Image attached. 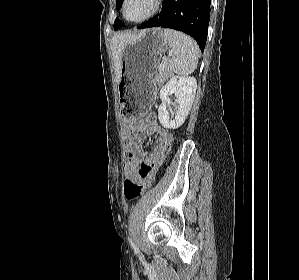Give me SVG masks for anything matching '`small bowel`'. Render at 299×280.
Returning a JSON list of instances; mask_svg holds the SVG:
<instances>
[{
	"label": "small bowel",
	"instance_id": "c3829d8e",
	"mask_svg": "<svg viewBox=\"0 0 299 280\" xmlns=\"http://www.w3.org/2000/svg\"><path fill=\"white\" fill-rule=\"evenodd\" d=\"M149 135H156L157 139L151 148L150 156L144 159L142 146L138 141L133 140L132 136L137 139H144ZM127 136L129 138V151L127 161L124 164V173L127 179H137L140 164L156 159L161 154L163 147L172 141L171 133L162 127L156 119L148 123L130 122Z\"/></svg>",
	"mask_w": 299,
	"mask_h": 280
}]
</instances>
